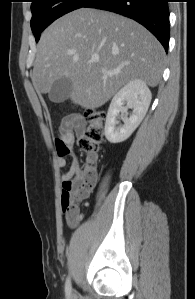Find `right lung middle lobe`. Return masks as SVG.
<instances>
[{
	"label": "right lung middle lobe",
	"mask_w": 195,
	"mask_h": 299,
	"mask_svg": "<svg viewBox=\"0 0 195 299\" xmlns=\"http://www.w3.org/2000/svg\"><path fill=\"white\" fill-rule=\"evenodd\" d=\"M89 0H33L31 29L38 42L40 33L54 20L83 7Z\"/></svg>",
	"instance_id": "dd1d6c3e"
}]
</instances>
